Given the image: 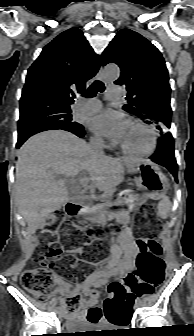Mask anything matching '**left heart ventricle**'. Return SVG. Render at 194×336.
I'll return each mask as SVG.
<instances>
[{
    "label": "left heart ventricle",
    "instance_id": "b2bd125f",
    "mask_svg": "<svg viewBox=\"0 0 194 336\" xmlns=\"http://www.w3.org/2000/svg\"><path fill=\"white\" fill-rule=\"evenodd\" d=\"M119 144L131 151H144L149 148L151 138L143 128L127 123Z\"/></svg>",
    "mask_w": 194,
    "mask_h": 336
}]
</instances>
